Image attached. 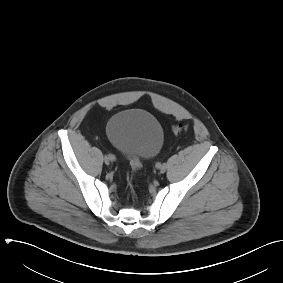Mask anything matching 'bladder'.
<instances>
[{"mask_svg": "<svg viewBox=\"0 0 283 283\" xmlns=\"http://www.w3.org/2000/svg\"><path fill=\"white\" fill-rule=\"evenodd\" d=\"M112 145L122 154L149 159L158 154L164 132L158 119L142 109H128L113 115L106 126Z\"/></svg>", "mask_w": 283, "mask_h": 283, "instance_id": "bladder-1", "label": "bladder"}]
</instances>
